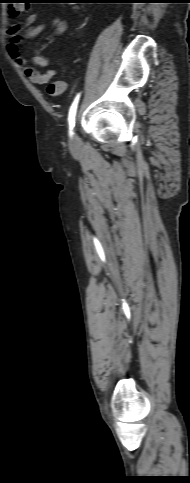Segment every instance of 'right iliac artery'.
I'll list each match as a JSON object with an SVG mask.
<instances>
[{"mask_svg":"<svg viewBox=\"0 0 190 483\" xmlns=\"http://www.w3.org/2000/svg\"><path fill=\"white\" fill-rule=\"evenodd\" d=\"M80 94H78L70 108L69 111V116H68V122H69V129H70V135L73 134L72 129L75 125V116H76V110H77V104L79 101Z\"/></svg>","mask_w":190,"mask_h":483,"instance_id":"obj_1","label":"right iliac artery"}]
</instances>
